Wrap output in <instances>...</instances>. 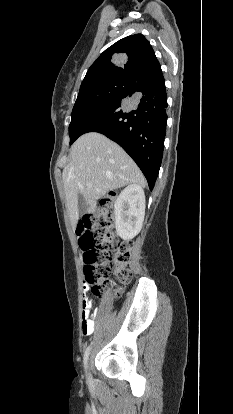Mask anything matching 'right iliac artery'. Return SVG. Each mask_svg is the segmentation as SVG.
I'll return each mask as SVG.
<instances>
[{"label":"right iliac artery","mask_w":233,"mask_h":414,"mask_svg":"<svg viewBox=\"0 0 233 414\" xmlns=\"http://www.w3.org/2000/svg\"><path fill=\"white\" fill-rule=\"evenodd\" d=\"M90 351H91V345L86 348L85 353H84V365H85V368H86V365H87V361H88V357H89Z\"/></svg>","instance_id":"right-iliac-artery-1"}]
</instances>
